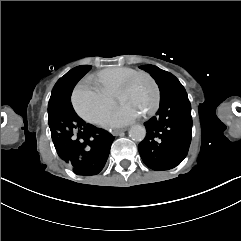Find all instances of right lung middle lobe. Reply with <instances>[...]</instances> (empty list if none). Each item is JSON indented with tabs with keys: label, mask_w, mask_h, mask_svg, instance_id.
<instances>
[{
	"label": "right lung middle lobe",
	"mask_w": 241,
	"mask_h": 241,
	"mask_svg": "<svg viewBox=\"0 0 241 241\" xmlns=\"http://www.w3.org/2000/svg\"><path fill=\"white\" fill-rule=\"evenodd\" d=\"M75 68L70 70L60 78L53 87L51 97L48 103V123L51 130L52 140H54L63 131L61 121L64 113L75 112L70 103L72 91L68 89V80Z\"/></svg>",
	"instance_id": "obj_1"
}]
</instances>
